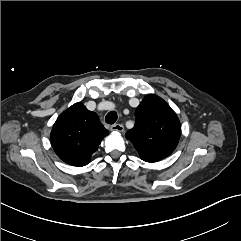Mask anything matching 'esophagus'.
Here are the masks:
<instances>
[{"label": "esophagus", "mask_w": 241, "mask_h": 241, "mask_svg": "<svg viewBox=\"0 0 241 241\" xmlns=\"http://www.w3.org/2000/svg\"><path fill=\"white\" fill-rule=\"evenodd\" d=\"M111 131L123 132L124 126L122 124H114L110 127Z\"/></svg>", "instance_id": "1"}]
</instances>
